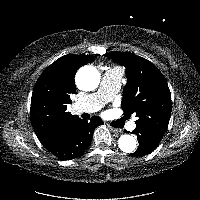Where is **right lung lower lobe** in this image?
Here are the masks:
<instances>
[{
  "instance_id": "obj_1",
  "label": "right lung lower lobe",
  "mask_w": 200,
  "mask_h": 200,
  "mask_svg": "<svg viewBox=\"0 0 200 200\" xmlns=\"http://www.w3.org/2000/svg\"><path fill=\"white\" fill-rule=\"evenodd\" d=\"M103 124L98 116L87 122L80 118L58 129L49 140L42 143L44 147L62 160H70L82 154L92 141L95 128Z\"/></svg>"
}]
</instances>
